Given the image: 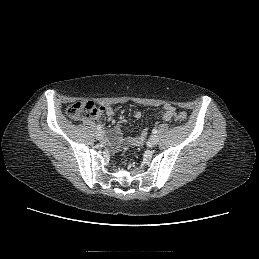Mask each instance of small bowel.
I'll return each instance as SVG.
<instances>
[{"label":"small bowel","mask_w":259,"mask_h":259,"mask_svg":"<svg viewBox=\"0 0 259 259\" xmlns=\"http://www.w3.org/2000/svg\"><path fill=\"white\" fill-rule=\"evenodd\" d=\"M105 114L108 120H112L114 118V110L110 106H101L99 113L97 116ZM176 114V109L173 105L169 103H165L162 105V108L159 112V115L161 118L165 121H171ZM95 116V117H97ZM95 117H92L91 119H94ZM134 117L136 119H140L142 117L141 111H136L134 113ZM122 127L117 126L113 131V142L112 146L114 148H119L122 144H128V145H134V146H140L144 143L146 136H147V130H143L139 135L123 138L122 137Z\"/></svg>","instance_id":"1"}]
</instances>
